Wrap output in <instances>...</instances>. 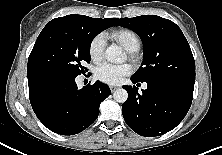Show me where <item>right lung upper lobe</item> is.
I'll return each instance as SVG.
<instances>
[{
	"instance_id": "1",
	"label": "right lung upper lobe",
	"mask_w": 222,
	"mask_h": 155,
	"mask_svg": "<svg viewBox=\"0 0 222 155\" xmlns=\"http://www.w3.org/2000/svg\"><path fill=\"white\" fill-rule=\"evenodd\" d=\"M67 16H84V15H67ZM117 19L118 18H107V19H102V20L112 26H117L118 25ZM27 76H28V86H29L30 97L44 99L50 95L51 82L46 81L42 78H39L30 72H27Z\"/></svg>"
}]
</instances>
